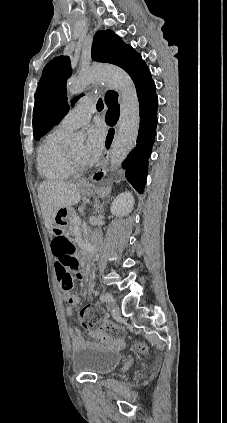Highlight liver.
<instances>
[{"label":"liver","instance_id":"1","mask_svg":"<svg viewBox=\"0 0 227 423\" xmlns=\"http://www.w3.org/2000/svg\"><path fill=\"white\" fill-rule=\"evenodd\" d=\"M38 198L47 229H52L55 215L60 208H71L81 200L77 184L49 180L39 186Z\"/></svg>","mask_w":227,"mask_h":423}]
</instances>
